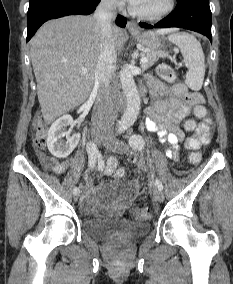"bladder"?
<instances>
[{"label":"bladder","mask_w":233,"mask_h":284,"mask_svg":"<svg viewBox=\"0 0 233 284\" xmlns=\"http://www.w3.org/2000/svg\"><path fill=\"white\" fill-rule=\"evenodd\" d=\"M136 189L126 180H114L89 193L85 198L93 204L91 196L102 204H123L134 200ZM84 231L97 239H107L115 234L139 237L150 229L147 221H131L121 217H91L83 221Z\"/></svg>","instance_id":"obj_1"}]
</instances>
